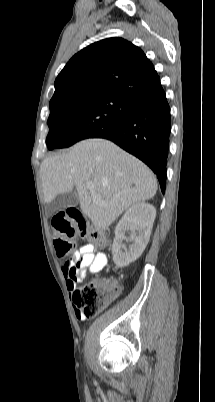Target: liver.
I'll return each instance as SVG.
<instances>
[{
    "label": "liver",
    "instance_id": "obj_1",
    "mask_svg": "<svg viewBox=\"0 0 215 402\" xmlns=\"http://www.w3.org/2000/svg\"><path fill=\"white\" fill-rule=\"evenodd\" d=\"M46 203L75 187L80 208L94 227L107 229L128 207L153 198L157 181L140 160L104 139H87L40 165ZM94 186L97 200L86 187Z\"/></svg>",
    "mask_w": 215,
    "mask_h": 402
}]
</instances>
